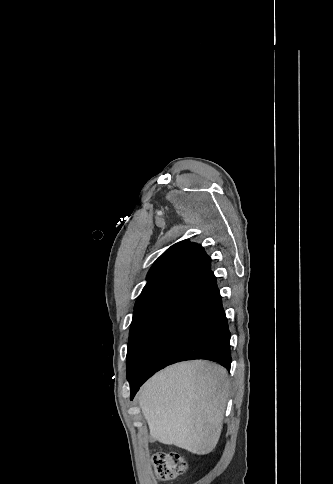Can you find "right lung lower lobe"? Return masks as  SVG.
Listing matches in <instances>:
<instances>
[{"label":"right lung lower lobe","mask_w":333,"mask_h":484,"mask_svg":"<svg viewBox=\"0 0 333 484\" xmlns=\"http://www.w3.org/2000/svg\"><path fill=\"white\" fill-rule=\"evenodd\" d=\"M230 332L211 270L168 295L147 324L129 380L131 399L155 372L182 360L207 359L230 370Z\"/></svg>","instance_id":"1"}]
</instances>
